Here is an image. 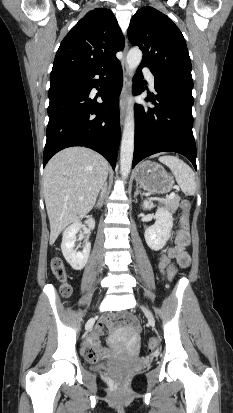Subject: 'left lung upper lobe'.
<instances>
[{"mask_svg":"<svg viewBox=\"0 0 233 413\" xmlns=\"http://www.w3.org/2000/svg\"><path fill=\"white\" fill-rule=\"evenodd\" d=\"M128 38L142 50V64L166 79L193 88L185 39L166 15L149 6L141 8L130 21Z\"/></svg>","mask_w":233,"mask_h":413,"instance_id":"left-lung-upper-lobe-1","label":"left lung upper lobe"}]
</instances>
